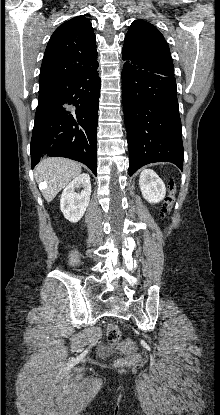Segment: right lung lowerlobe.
I'll return each instance as SVG.
<instances>
[{
    "label": "right lung lower lobe",
    "mask_w": 220,
    "mask_h": 415,
    "mask_svg": "<svg viewBox=\"0 0 220 415\" xmlns=\"http://www.w3.org/2000/svg\"><path fill=\"white\" fill-rule=\"evenodd\" d=\"M98 65L39 89L31 139L32 168L46 156L84 163L97 174Z\"/></svg>",
    "instance_id": "obj_1"
}]
</instances>
